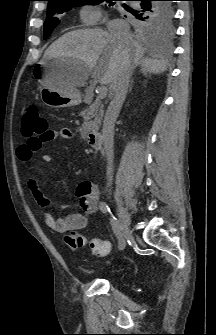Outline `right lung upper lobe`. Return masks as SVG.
I'll use <instances>...</instances> for the list:
<instances>
[{"label":"right lung upper lobe","mask_w":216,"mask_h":335,"mask_svg":"<svg viewBox=\"0 0 216 335\" xmlns=\"http://www.w3.org/2000/svg\"><path fill=\"white\" fill-rule=\"evenodd\" d=\"M48 1V5L51 4V3H54V2H59V1H65V0H46Z\"/></svg>","instance_id":"1"}]
</instances>
